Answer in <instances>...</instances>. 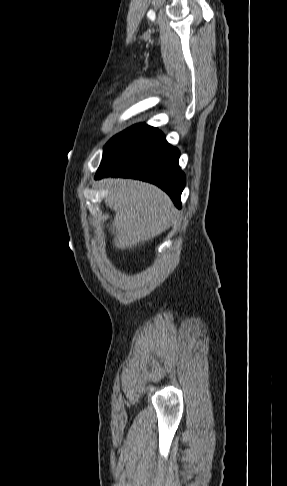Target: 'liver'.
Here are the masks:
<instances>
[{
	"label": "liver",
	"mask_w": 287,
	"mask_h": 486,
	"mask_svg": "<svg viewBox=\"0 0 287 486\" xmlns=\"http://www.w3.org/2000/svg\"><path fill=\"white\" fill-rule=\"evenodd\" d=\"M105 203L115 211L112 223L116 248L132 249L166 231L176 210L158 187L137 180L108 178Z\"/></svg>",
	"instance_id": "obj_1"
}]
</instances>
